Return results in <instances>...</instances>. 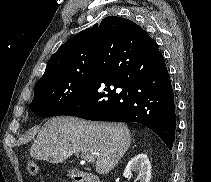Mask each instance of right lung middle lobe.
I'll list each match as a JSON object with an SVG mask.
<instances>
[{"label": "right lung middle lobe", "instance_id": "dd1d6c3e", "mask_svg": "<svg viewBox=\"0 0 211 182\" xmlns=\"http://www.w3.org/2000/svg\"><path fill=\"white\" fill-rule=\"evenodd\" d=\"M94 64L35 84L29 108L39 117L60 116L87 87Z\"/></svg>", "mask_w": 211, "mask_h": 182}]
</instances>
